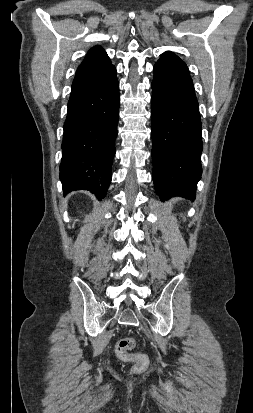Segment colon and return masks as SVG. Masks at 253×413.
<instances>
[{
    "label": "colon",
    "instance_id": "colon-1",
    "mask_svg": "<svg viewBox=\"0 0 253 413\" xmlns=\"http://www.w3.org/2000/svg\"><path fill=\"white\" fill-rule=\"evenodd\" d=\"M136 340L133 337H126L118 341L116 344V354L123 361H133L132 371L139 373L148 365V358L142 353H131L136 347Z\"/></svg>",
    "mask_w": 253,
    "mask_h": 413
}]
</instances>
